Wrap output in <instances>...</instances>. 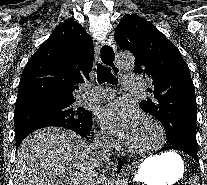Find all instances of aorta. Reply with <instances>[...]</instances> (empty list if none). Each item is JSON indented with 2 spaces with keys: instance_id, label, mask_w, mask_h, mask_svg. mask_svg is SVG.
<instances>
[{
  "instance_id": "obj_1",
  "label": "aorta",
  "mask_w": 207,
  "mask_h": 185,
  "mask_svg": "<svg viewBox=\"0 0 207 185\" xmlns=\"http://www.w3.org/2000/svg\"><path fill=\"white\" fill-rule=\"evenodd\" d=\"M117 65L122 69H131L134 67L135 58L131 53H120L116 58ZM116 185H126V180L118 179Z\"/></svg>"
}]
</instances>
